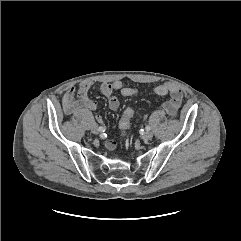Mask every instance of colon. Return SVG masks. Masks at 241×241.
<instances>
[{
	"mask_svg": "<svg viewBox=\"0 0 241 241\" xmlns=\"http://www.w3.org/2000/svg\"><path fill=\"white\" fill-rule=\"evenodd\" d=\"M133 116L134 110L132 108H127L124 110L119 122V128L122 134H125L128 131Z\"/></svg>",
	"mask_w": 241,
	"mask_h": 241,
	"instance_id": "5ec220e1",
	"label": "colon"
}]
</instances>
